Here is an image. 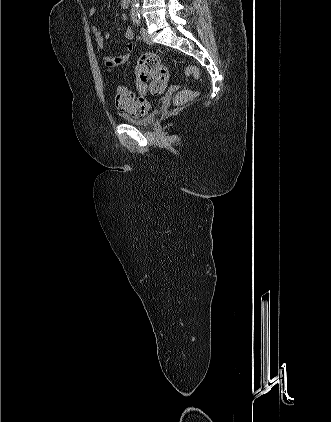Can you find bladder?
Returning <instances> with one entry per match:
<instances>
[{"label":"bladder","instance_id":"1","mask_svg":"<svg viewBox=\"0 0 331 422\" xmlns=\"http://www.w3.org/2000/svg\"><path fill=\"white\" fill-rule=\"evenodd\" d=\"M120 117L127 124L134 125V126L148 127V126H151L155 122L156 113L149 112L148 114L141 117H135L128 114H121Z\"/></svg>","mask_w":331,"mask_h":422}]
</instances>
